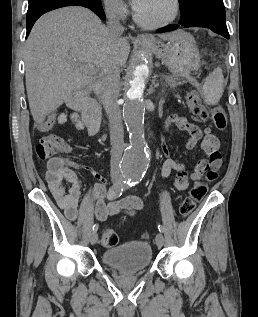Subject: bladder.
I'll return each instance as SVG.
<instances>
[{"label": "bladder", "mask_w": 258, "mask_h": 317, "mask_svg": "<svg viewBox=\"0 0 258 317\" xmlns=\"http://www.w3.org/2000/svg\"><path fill=\"white\" fill-rule=\"evenodd\" d=\"M152 259V248L146 241H130L107 249L102 254L105 265L127 272L146 269Z\"/></svg>", "instance_id": "1"}]
</instances>
